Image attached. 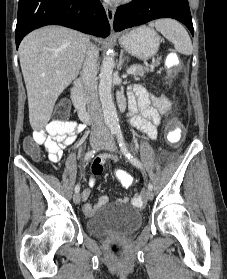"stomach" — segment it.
I'll list each match as a JSON object with an SVG mask.
<instances>
[{
	"label": "stomach",
	"instance_id": "0dacf381",
	"mask_svg": "<svg viewBox=\"0 0 227 279\" xmlns=\"http://www.w3.org/2000/svg\"><path fill=\"white\" fill-rule=\"evenodd\" d=\"M119 43L131 55L148 60L158 52L160 38L153 29L138 27L122 35Z\"/></svg>",
	"mask_w": 227,
	"mask_h": 279
}]
</instances>
